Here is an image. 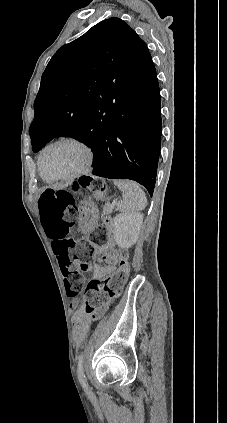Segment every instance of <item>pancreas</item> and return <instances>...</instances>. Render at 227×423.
Here are the masks:
<instances>
[{
  "label": "pancreas",
  "mask_w": 227,
  "mask_h": 423,
  "mask_svg": "<svg viewBox=\"0 0 227 423\" xmlns=\"http://www.w3.org/2000/svg\"><path fill=\"white\" fill-rule=\"evenodd\" d=\"M110 208H107V206H104L103 213H110Z\"/></svg>",
  "instance_id": "pancreas-1"
}]
</instances>
